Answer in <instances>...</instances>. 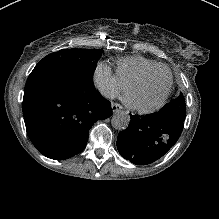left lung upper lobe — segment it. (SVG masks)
Listing matches in <instances>:
<instances>
[{
	"label": "left lung upper lobe",
	"instance_id": "5c2ea615",
	"mask_svg": "<svg viewBox=\"0 0 219 219\" xmlns=\"http://www.w3.org/2000/svg\"><path fill=\"white\" fill-rule=\"evenodd\" d=\"M158 114L172 116L181 121L185 120L186 104L182 93L177 99L166 104L162 109L158 111Z\"/></svg>",
	"mask_w": 219,
	"mask_h": 219
}]
</instances>
